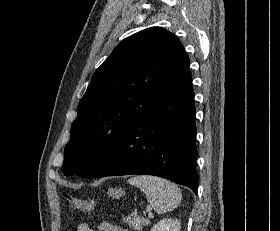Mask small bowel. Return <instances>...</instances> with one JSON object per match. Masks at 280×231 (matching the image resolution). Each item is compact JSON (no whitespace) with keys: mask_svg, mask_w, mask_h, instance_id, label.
<instances>
[{"mask_svg":"<svg viewBox=\"0 0 280 231\" xmlns=\"http://www.w3.org/2000/svg\"><path fill=\"white\" fill-rule=\"evenodd\" d=\"M101 231H122V229L118 228L117 226H114L109 223H103L100 225ZM77 231H92L90 225L86 222H82L78 224Z\"/></svg>","mask_w":280,"mask_h":231,"instance_id":"1","label":"small bowel"}]
</instances>
